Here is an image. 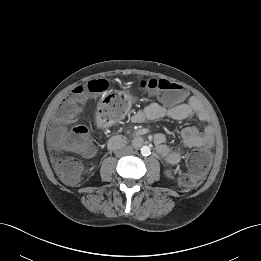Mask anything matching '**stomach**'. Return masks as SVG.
Here are the masks:
<instances>
[{
  "label": "stomach",
  "instance_id": "obj_1",
  "mask_svg": "<svg viewBox=\"0 0 261 261\" xmlns=\"http://www.w3.org/2000/svg\"><path fill=\"white\" fill-rule=\"evenodd\" d=\"M125 100L129 101L130 96L124 95ZM97 123L101 127H108L111 123L101 118V116L97 117Z\"/></svg>",
  "mask_w": 261,
  "mask_h": 261
}]
</instances>
